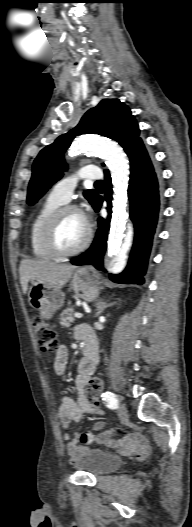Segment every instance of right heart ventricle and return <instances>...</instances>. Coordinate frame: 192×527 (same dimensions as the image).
I'll return each mask as SVG.
<instances>
[{
  "instance_id": "obj_1",
  "label": "right heart ventricle",
  "mask_w": 192,
  "mask_h": 527,
  "mask_svg": "<svg viewBox=\"0 0 192 527\" xmlns=\"http://www.w3.org/2000/svg\"><path fill=\"white\" fill-rule=\"evenodd\" d=\"M62 204L63 203L60 201L55 200L49 196L39 207L32 218L29 228V243L31 252L36 258L50 259L54 257L44 246L43 231L50 216L56 209L62 206Z\"/></svg>"
}]
</instances>
